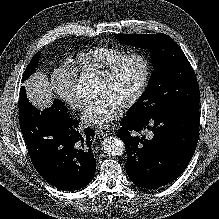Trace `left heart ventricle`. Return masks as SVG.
I'll return each instance as SVG.
<instances>
[{
  "label": "left heart ventricle",
  "mask_w": 219,
  "mask_h": 219,
  "mask_svg": "<svg viewBox=\"0 0 219 219\" xmlns=\"http://www.w3.org/2000/svg\"><path fill=\"white\" fill-rule=\"evenodd\" d=\"M143 72L144 67L140 60H128L109 82L98 81L97 96H109L122 106L137 90Z\"/></svg>",
  "instance_id": "1"
}]
</instances>
